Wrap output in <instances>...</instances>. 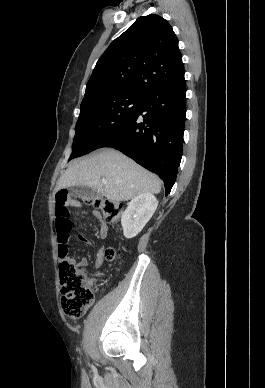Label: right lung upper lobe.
Segmentation results:
<instances>
[{
	"label": "right lung upper lobe",
	"mask_w": 265,
	"mask_h": 388,
	"mask_svg": "<svg viewBox=\"0 0 265 388\" xmlns=\"http://www.w3.org/2000/svg\"><path fill=\"white\" fill-rule=\"evenodd\" d=\"M184 76L178 39L168 22L150 14L138 18L97 61L85 97L101 91L144 95Z\"/></svg>",
	"instance_id": "right-lung-upper-lobe-1"
}]
</instances>
